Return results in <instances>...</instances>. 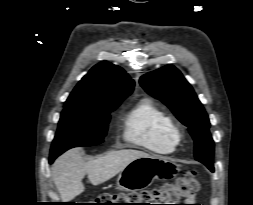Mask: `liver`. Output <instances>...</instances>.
Instances as JSON below:
<instances>
[{
    "label": "liver",
    "mask_w": 253,
    "mask_h": 205,
    "mask_svg": "<svg viewBox=\"0 0 253 205\" xmlns=\"http://www.w3.org/2000/svg\"><path fill=\"white\" fill-rule=\"evenodd\" d=\"M149 154L133 149L107 153L84 161L80 148H73L58 157L52 165V178L63 202H69L84 191L82 179L87 174L94 186L120 173L130 162Z\"/></svg>",
    "instance_id": "obj_1"
}]
</instances>
